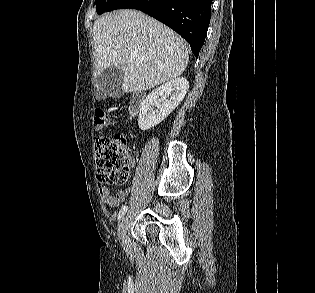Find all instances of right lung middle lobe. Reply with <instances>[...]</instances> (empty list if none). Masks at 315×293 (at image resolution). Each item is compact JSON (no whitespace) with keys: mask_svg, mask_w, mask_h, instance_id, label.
<instances>
[{"mask_svg":"<svg viewBox=\"0 0 315 293\" xmlns=\"http://www.w3.org/2000/svg\"><path fill=\"white\" fill-rule=\"evenodd\" d=\"M116 0H96V11L97 14H102L107 11V9L115 2Z\"/></svg>","mask_w":315,"mask_h":293,"instance_id":"right-lung-middle-lobe-1","label":"right lung middle lobe"}]
</instances>
